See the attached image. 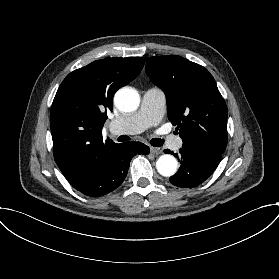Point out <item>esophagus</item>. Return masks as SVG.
Listing matches in <instances>:
<instances>
[{
	"mask_svg": "<svg viewBox=\"0 0 279 279\" xmlns=\"http://www.w3.org/2000/svg\"><path fill=\"white\" fill-rule=\"evenodd\" d=\"M150 153H152V154H154V155H157V154L160 153V149L157 148V147L151 146V147H150Z\"/></svg>",
	"mask_w": 279,
	"mask_h": 279,
	"instance_id": "obj_1",
	"label": "esophagus"
}]
</instances>
